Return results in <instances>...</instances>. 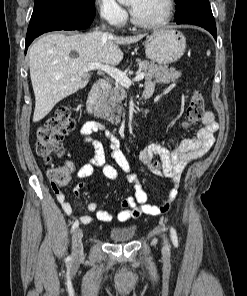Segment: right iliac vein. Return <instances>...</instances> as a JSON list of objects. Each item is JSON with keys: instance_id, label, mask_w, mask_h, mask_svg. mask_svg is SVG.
I'll return each instance as SVG.
<instances>
[{"instance_id": "1", "label": "right iliac vein", "mask_w": 247, "mask_h": 296, "mask_svg": "<svg viewBox=\"0 0 247 296\" xmlns=\"http://www.w3.org/2000/svg\"><path fill=\"white\" fill-rule=\"evenodd\" d=\"M82 237V230L76 229L72 236V255L74 259H80L83 256Z\"/></svg>"}]
</instances>
